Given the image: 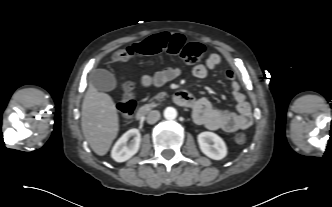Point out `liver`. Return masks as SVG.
I'll list each match as a JSON object with an SVG mask.
<instances>
[{
	"mask_svg": "<svg viewBox=\"0 0 332 207\" xmlns=\"http://www.w3.org/2000/svg\"><path fill=\"white\" fill-rule=\"evenodd\" d=\"M81 115L85 139L97 155H105L119 131V116L114 101L89 84Z\"/></svg>",
	"mask_w": 332,
	"mask_h": 207,
	"instance_id": "1",
	"label": "liver"
}]
</instances>
